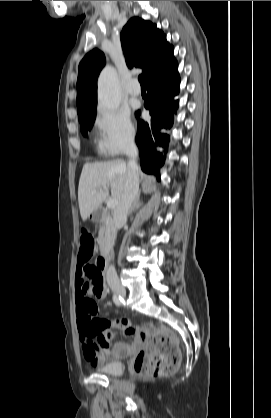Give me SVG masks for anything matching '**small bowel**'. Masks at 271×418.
Returning <instances> with one entry per match:
<instances>
[{"label":"small bowel","instance_id":"obj_1","mask_svg":"<svg viewBox=\"0 0 271 418\" xmlns=\"http://www.w3.org/2000/svg\"><path fill=\"white\" fill-rule=\"evenodd\" d=\"M74 297L78 331L84 358L94 366H101L109 359L123 357L143 344L146 331L134 327L128 318L106 320L101 313L99 301L107 294L102 278V267L87 261L76 264ZM113 329L123 331L126 336H135L132 345L117 342L111 345Z\"/></svg>","mask_w":271,"mask_h":418}]
</instances>
